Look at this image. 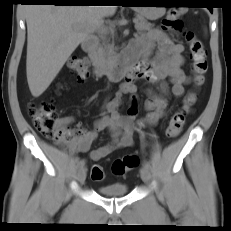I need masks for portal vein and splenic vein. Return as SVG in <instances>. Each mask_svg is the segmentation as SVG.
Here are the masks:
<instances>
[{
	"label": "portal vein and splenic vein",
	"instance_id": "1",
	"mask_svg": "<svg viewBox=\"0 0 231 231\" xmlns=\"http://www.w3.org/2000/svg\"><path fill=\"white\" fill-rule=\"evenodd\" d=\"M134 23H135V24H137V23H138V20H137V19H135V20H134Z\"/></svg>",
	"mask_w": 231,
	"mask_h": 231
}]
</instances>
